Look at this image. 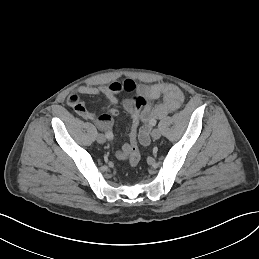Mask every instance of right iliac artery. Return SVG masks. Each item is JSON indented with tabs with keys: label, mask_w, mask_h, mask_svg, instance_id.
Instances as JSON below:
<instances>
[{
	"label": "right iliac artery",
	"mask_w": 259,
	"mask_h": 259,
	"mask_svg": "<svg viewBox=\"0 0 259 259\" xmlns=\"http://www.w3.org/2000/svg\"><path fill=\"white\" fill-rule=\"evenodd\" d=\"M105 137L107 138V139H109V140H112L113 139V134L111 133V132H106L105 133Z\"/></svg>",
	"instance_id": "obj_1"
}]
</instances>
